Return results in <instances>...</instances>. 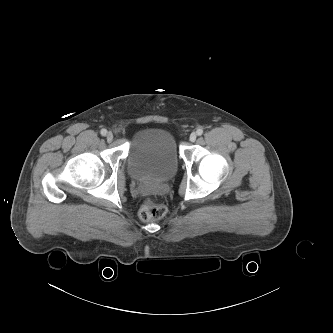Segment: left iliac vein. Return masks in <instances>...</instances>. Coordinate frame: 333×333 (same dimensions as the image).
<instances>
[{"label":"left iliac vein","mask_w":333,"mask_h":333,"mask_svg":"<svg viewBox=\"0 0 333 333\" xmlns=\"http://www.w3.org/2000/svg\"><path fill=\"white\" fill-rule=\"evenodd\" d=\"M196 138H197V134H196L195 132H192V133L190 134L189 140H190L191 142H194V141L196 140Z\"/></svg>","instance_id":"left-iliac-vein-1"}]
</instances>
